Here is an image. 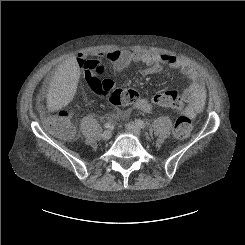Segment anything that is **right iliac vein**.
I'll return each instance as SVG.
<instances>
[{
  "label": "right iliac vein",
  "mask_w": 245,
  "mask_h": 245,
  "mask_svg": "<svg viewBox=\"0 0 245 245\" xmlns=\"http://www.w3.org/2000/svg\"><path fill=\"white\" fill-rule=\"evenodd\" d=\"M111 137H112V131H111V130H105V131L102 133V138H103L104 140H109Z\"/></svg>",
  "instance_id": "obj_1"
}]
</instances>
